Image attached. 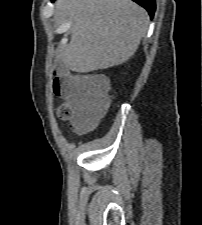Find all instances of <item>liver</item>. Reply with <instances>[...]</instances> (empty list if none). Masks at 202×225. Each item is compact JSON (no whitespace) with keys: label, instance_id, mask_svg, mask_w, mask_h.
I'll list each match as a JSON object with an SVG mask.
<instances>
[{"label":"liver","instance_id":"liver-1","mask_svg":"<svg viewBox=\"0 0 202 225\" xmlns=\"http://www.w3.org/2000/svg\"><path fill=\"white\" fill-rule=\"evenodd\" d=\"M56 10L71 22L61 60L80 73L125 63L149 25L147 11L131 0H59Z\"/></svg>","mask_w":202,"mask_h":225}]
</instances>
